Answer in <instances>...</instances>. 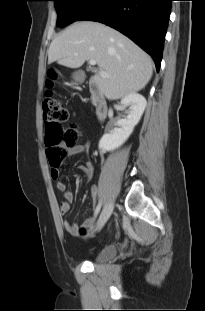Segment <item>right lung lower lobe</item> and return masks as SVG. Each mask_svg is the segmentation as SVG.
I'll return each instance as SVG.
<instances>
[{
    "label": "right lung lower lobe",
    "mask_w": 205,
    "mask_h": 311,
    "mask_svg": "<svg viewBox=\"0 0 205 311\" xmlns=\"http://www.w3.org/2000/svg\"><path fill=\"white\" fill-rule=\"evenodd\" d=\"M173 0H99L78 21L104 23L128 36L154 60L159 71Z\"/></svg>",
    "instance_id": "98d812e1"
}]
</instances>
